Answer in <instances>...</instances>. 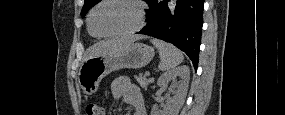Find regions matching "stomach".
<instances>
[{"instance_id":"1","label":"stomach","mask_w":285,"mask_h":115,"mask_svg":"<svg viewBox=\"0 0 285 115\" xmlns=\"http://www.w3.org/2000/svg\"><path fill=\"white\" fill-rule=\"evenodd\" d=\"M154 49L146 44L132 42L114 54L92 57L86 60L79 71L78 82L87 95L94 94L100 81L113 71L146 66L154 57Z\"/></svg>"}]
</instances>
